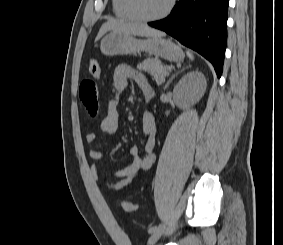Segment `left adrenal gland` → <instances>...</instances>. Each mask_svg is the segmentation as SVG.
Masks as SVG:
<instances>
[{
    "label": "left adrenal gland",
    "instance_id": "left-adrenal-gland-1",
    "mask_svg": "<svg viewBox=\"0 0 283 245\" xmlns=\"http://www.w3.org/2000/svg\"><path fill=\"white\" fill-rule=\"evenodd\" d=\"M183 70H184V68L182 70L178 71L176 74L172 75L171 78L167 81L164 89H166L169 86V84L171 83V81Z\"/></svg>",
    "mask_w": 283,
    "mask_h": 245
}]
</instances>
